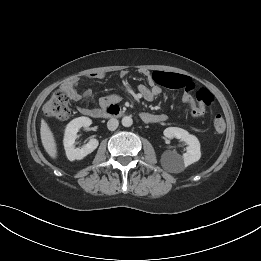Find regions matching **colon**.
I'll use <instances>...</instances> for the list:
<instances>
[{
    "mask_svg": "<svg viewBox=\"0 0 261 261\" xmlns=\"http://www.w3.org/2000/svg\"><path fill=\"white\" fill-rule=\"evenodd\" d=\"M201 107L211 106L215 103L214 96L206 89H200L196 95ZM69 95L63 89L55 91L43 106V114L48 118L66 120L70 116ZM214 129L221 133L225 130V121L221 115H216L213 121Z\"/></svg>",
    "mask_w": 261,
    "mask_h": 261,
    "instance_id": "5ec220e1",
    "label": "colon"
}]
</instances>
